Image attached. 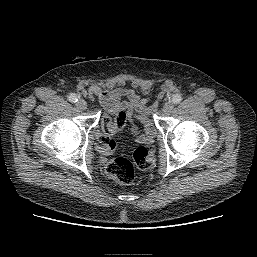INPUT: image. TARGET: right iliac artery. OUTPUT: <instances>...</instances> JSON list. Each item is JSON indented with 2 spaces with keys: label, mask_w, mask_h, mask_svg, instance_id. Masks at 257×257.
Listing matches in <instances>:
<instances>
[{
  "label": "right iliac artery",
  "mask_w": 257,
  "mask_h": 257,
  "mask_svg": "<svg viewBox=\"0 0 257 257\" xmlns=\"http://www.w3.org/2000/svg\"><path fill=\"white\" fill-rule=\"evenodd\" d=\"M68 100L72 103H76L78 101V98L76 96V94L72 93L68 96Z\"/></svg>",
  "instance_id": "right-iliac-artery-1"
}]
</instances>
